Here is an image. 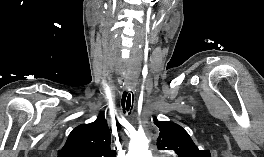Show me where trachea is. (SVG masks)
Wrapping results in <instances>:
<instances>
[{
    "instance_id": "1",
    "label": "trachea",
    "mask_w": 264,
    "mask_h": 157,
    "mask_svg": "<svg viewBox=\"0 0 264 157\" xmlns=\"http://www.w3.org/2000/svg\"><path fill=\"white\" fill-rule=\"evenodd\" d=\"M133 99H134V95H133L131 89H128V90L123 92V95H122V107H123L124 111L125 110L126 111L132 110Z\"/></svg>"
}]
</instances>
